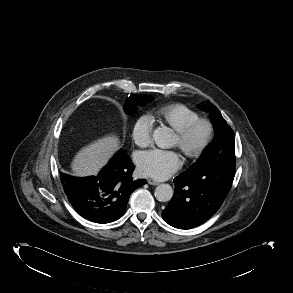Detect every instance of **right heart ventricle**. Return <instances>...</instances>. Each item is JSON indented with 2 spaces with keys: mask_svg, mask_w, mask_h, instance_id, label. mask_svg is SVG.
Masks as SVG:
<instances>
[{
  "mask_svg": "<svg viewBox=\"0 0 293 293\" xmlns=\"http://www.w3.org/2000/svg\"><path fill=\"white\" fill-rule=\"evenodd\" d=\"M158 116L176 132L199 118V114L183 104H171L161 108Z\"/></svg>",
  "mask_w": 293,
  "mask_h": 293,
  "instance_id": "obj_1",
  "label": "right heart ventricle"
}]
</instances>
